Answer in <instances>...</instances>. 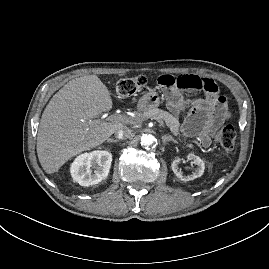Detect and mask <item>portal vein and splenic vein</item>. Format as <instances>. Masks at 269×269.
I'll list each match as a JSON object with an SVG mask.
<instances>
[{
	"instance_id": "portal-vein-and-splenic-vein-1",
	"label": "portal vein and splenic vein",
	"mask_w": 269,
	"mask_h": 269,
	"mask_svg": "<svg viewBox=\"0 0 269 269\" xmlns=\"http://www.w3.org/2000/svg\"><path fill=\"white\" fill-rule=\"evenodd\" d=\"M108 120L110 121H116V122H124V123H128V122H131V120H129V118L123 116V115H120V114H113V115H110L108 118ZM161 125H163L161 122H159Z\"/></svg>"
}]
</instances>
